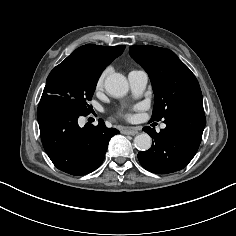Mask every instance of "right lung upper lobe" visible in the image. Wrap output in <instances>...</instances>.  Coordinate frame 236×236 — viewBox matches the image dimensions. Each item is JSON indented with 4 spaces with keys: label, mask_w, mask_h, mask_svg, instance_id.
<instances>
[{
    "label": "right lung upper lobe",
    "mask_w": 236,
    "mask_h": 236,
    "mask_svg": "<svg viewBox=\"0 0 236 236\" xmlns=\"http://www.w3.org/2000/svg\"><path fill=\"white\" fill-rule=\"evenodd\" d=\"M125 46L104 47L87 44L76 49L65 60L89 68H104L122 54Z\"/></svg>",
    "instance_id": "1"
}]
</instances>
